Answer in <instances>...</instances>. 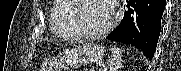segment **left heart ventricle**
<instances>
[{"label": "left heart ventricle", "instance_id": "b2bd125f", "mask_svg": "<svg viewBox=\"0 0 181 71\" xmlns=\"http://www.w3.org/2000/svg\"><path fill=\"white\" fill-rule=\"evenodd\" d=\"M111 12L103 0H82L78 18L81 25L89 31H99L110 21Z\"/></svg>", "mask_w": 181, "mask_h": 71}]
</instances>
